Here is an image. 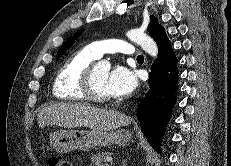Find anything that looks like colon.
<instances>
[{
  "mask_svg": "<svg viewBox=\"0 0 231 166\" xmlns=\"http://www.w3.org/2000/svg\"><path fill=\"white\" fill-rule=\"evenodd\" d=\"M48 164L49 166H72L69 161L59 158L57 156L50 157Z\"/></svg>",
  "mask_w": 231,
  "mask_h": 166,
  "instance_id": "obj_1",
  "label": "colon"
}]
</instances>
